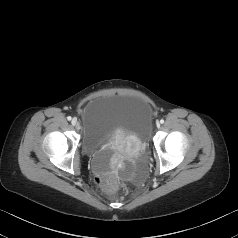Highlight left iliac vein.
I'll list each match as a JSON object with an SVG mask.
<instances>
[{
  "label": "left iliac vein",
  "instance_id": "1",
  "mask_svg": "<svg viewBox=\"0 0 238 238\" xmlns=\"http://www.w3.org/2000/svg\"><path fill=\"white\" fill-rule=\"evenodd\" d=\"M156 126L159 128V127H160V123H159V122H157V123H156Z\"/></svg>",
  "mask_w": 238,
  "mask_h": 238
}]
</instances>
